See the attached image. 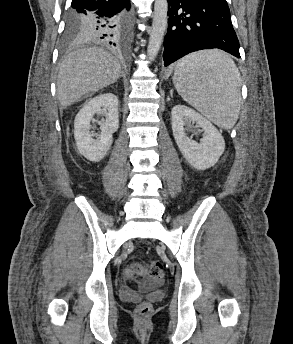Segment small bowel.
Returning a JSON list of instances; mask_svg holds the SVG:
<instances>
[{
	"instance_id": "c3829d8e",
	"label": "small bowel",
	"mask_w": 293,
	"mask_h": 344,
	"mask_svg": "<svg viewBox=\"0 0 293 344\" xmlns=\"http://www.w3.org/2000/svg\"><path fill=\"white\" fill-rule=\"evenodd\" d=\"M125 278L128 280L131 278V276H128L125 274ZM120 295L124 299L132 300L136 297V292L132 288L125 286L124 288L121 289Z\"/></svg>"
}]
</instances>
